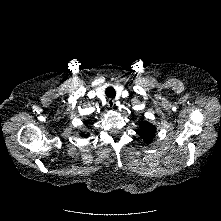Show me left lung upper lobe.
I'll return each mask as SVG.
<instances>
[{
    "mask_svg": "<svg viewBox=\"0 0 221 221\" xmlns=\"http://www.w3.org/2000/svg\"><path fill=\"white\" fill-rule=\"evenodd\" d=\"M156 128L154 125L148 122H142L139 126L138 134L146 143L151 142L152 138L155 136Z\"/></svg>",
    "mask_w": 221,
    "mask_h": 221,
    "instance_id": "left-lung-upper-lobe-1",
    "label": "left lung upper lobe"
}]
</instances>
